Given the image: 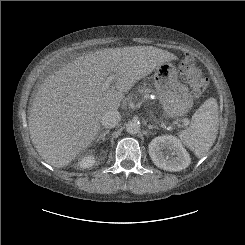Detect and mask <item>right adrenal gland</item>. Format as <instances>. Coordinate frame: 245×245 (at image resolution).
Masks as SVG:
<instances>
[{"instance_id": "obj_1", "label": "right adrenal gland", "mask_w": 245, "mask_h": 245, "mask_svg": "<svg viewBox=\"0 0 245 245\" xmlns=\"http://www.w3.org/2000/svg\"><path fill=\"white\" fill-rule=\"evenodd\" d=\"M109 133V130L102 131L99 136L95 139V143H98L100 140L105 141V136Z\"/></svg>"}]
</instances>
